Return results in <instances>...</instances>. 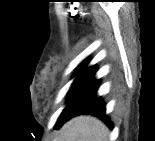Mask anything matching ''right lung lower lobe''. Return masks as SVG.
<instances>
[{
  "mask_svg": "<svg viewBox=\"0 0 155 141\" xmlns=\"http://www.w3.org/2000/svg\"><path fill=\"white\" fill-rule=\"evenodd\" d=\"M100 80L94 76L71 98L63 111V118L56 124L60 128L66 121L81 114H89L102 119L112 126L109 118L105 115V105L100 97L96 96Z\"/></svg>",
  "mask_w": 155,
  "mask_h": 141,
  "instance_id": "1",
  "label": "right lung lower lobe"
}]
</instances>
